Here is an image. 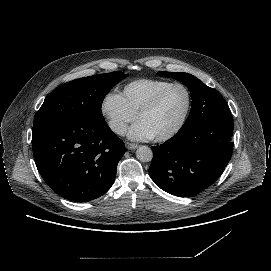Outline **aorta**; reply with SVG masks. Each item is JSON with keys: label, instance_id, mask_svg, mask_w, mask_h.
Wrapping results in <instances>:
<instances>
[{"label": "aorta", "instance_id": "aorta-1", "mask_svg": "<svg viewBox=\"0 0 271 271\" xmlns=\"http://www.w3.org/2000/svg\"><path fill=\"white\" fill-rule=\"evenodd\" d=\"M136 157L141 162H150L153 158V152L148 146H140L136 150Z\"/></svg>", "mask_w": 271, "mask_h": 271}]
</instances>
